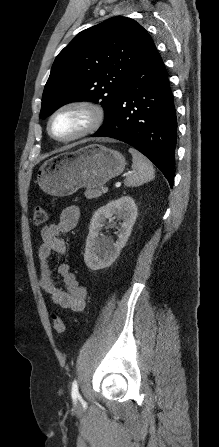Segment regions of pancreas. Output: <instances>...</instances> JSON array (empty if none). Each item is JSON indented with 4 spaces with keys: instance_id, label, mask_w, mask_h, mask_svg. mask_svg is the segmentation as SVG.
Instances as JSON below:
<instances>
[{
    "instance_id": "obj_1",
    "label": "pancreas",
    "mask_w": 219,
    "mask_h": 447,
    "mask_svg": "<svg viewBox=\"0 0 219 447\" xmlns=\"http://www.w3.org/2000/svg\"><path fill=\"white\" fill-rule=\"evenodd\" d=\"M84 195L88 199H94V198H98L99 196H101L102 191L100 190V188H95V189L88 188L84 192Z\"/></svg>"
}]
</instances>
